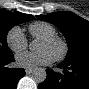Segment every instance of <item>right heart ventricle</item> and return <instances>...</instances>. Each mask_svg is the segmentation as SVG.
<instances>
[{
    "mask_svg": "<svg viewBox=\"0 0 89 89\" xmlns=\"http://www.w3.org/2000/svg\"><path fill=\"white\" fill-rule=\"evenodd\" d=\"M29 32L33 38L40 39L46 36L56 35V28L47 22H34L29 26Z\"/></svg>",
    "mask_w": 89,
    "mask_h": 89,
    "instance_id": "obj_1",
    "label": "right heart ventricle"
}]
</instances>
